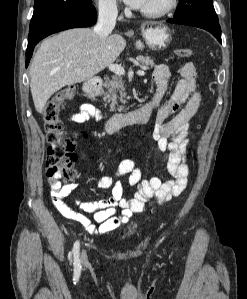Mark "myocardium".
Masks as SVG:
<instances>
[{"label":"myocardium","mask_w":247,"mask_h":299,"mask_svg":"<svg viewBox=\"0 0 247 299\" xmlns=\"http://www.w3.org/2000/svg\"><path fill=\"white\" fill-rule=\"evenodd\" d=\"M177 4V0H166V2L156 9H142L140 12L148 18H160L171 12Z\"/></svg>","instance_id":"obj_1"}]
</instances>
